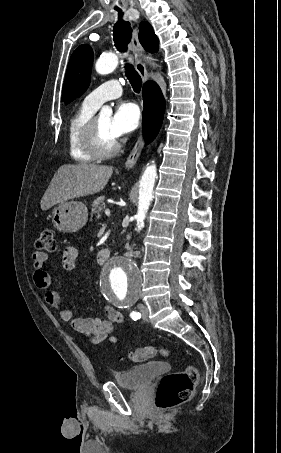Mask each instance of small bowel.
Segmentation results:
<instances>
[{
    "mask_svg": "<svg viewBox=\"0 0 281 453\" xmlns=\"http://www.w3.org/2000/svg\"><path fill=\"white\" fill-rule=\"evenodd\" d=\"M77 256L76 246L69 245L64 248L62 261L66 271L75 269ZM49 260L50 258L45 252L39 251L32 255V280L44 292L47 304L58 311L62 320L70 322L74 330L85 335L91 341L115 342L113 328L123 321L122 314L113 308H107L105 310L107 319L75 317L69 308L62 305L59 294L49 289L51 283L50 275L47 272Z\"/></svg>",
    "mask_w": 281,
    "mask_h": 453,
    "instance_id": "obj_1",
    "label": "small bowel"
}]
</instances>
